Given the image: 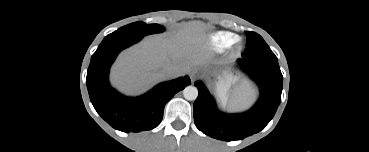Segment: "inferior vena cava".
I'll use <instances>...</instances> for the list:
<instances>
[{"instance_id": "obj_1", "label": "inferior vena cava", "mask_w": 369, "mask_h": 152, "mask_svg": "<svg viewBox=\"0 0 369 152\" xmlns=\"http://www.w3.org/2000/svg\"><path fill=\"white\" fill-rule=\"evenodd\" d=\"M164 72L169 77H175L179 74V69L176 66L168 65L164 68Z\"/></svg>"}]
</instances>
